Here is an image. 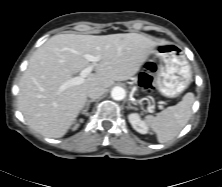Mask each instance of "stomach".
Masks as SVG:
<instances>
[{"mask_svg": "<svg viewBox=\"0 0 222 187\" xmlns=\"http://www.w3.org/2000/svg\"><path fill=\"white\" fill-rule=\"evenodd\" d=\"M153 55L159 61L155 77L158 90L167 97H177L192 82L191 66L184 51L174 43L160 41L155 46Z\"/></svg>", "mask_w": 222, "mask_h": 187, "instance_id": "1", "label": "stomach"}]
</instances>
